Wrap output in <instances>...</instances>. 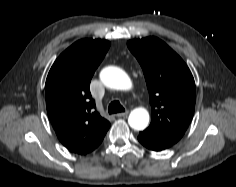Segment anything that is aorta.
I'll return each instance as SVG.
<instances>
[{
  "instance_id": "aorta-1",
  "label": "aorta",
  "mask_w": 236,
  "mask_h": 187,
  "mask_svg": "<svg viewBox=\"0 0 236 187\" xmlns=\"http://www.w3.org/2000/svg\"><path fill=\"white\" fill-rule=\"evenodd\" d=\"M101 82L108 88L115 90L132 89V81L125 71L115 66L105 67L100 72ZM128 123L135 130H144L149 123V113L144 108H136L131 111Z\"/></svg>"
}]
</instances>
